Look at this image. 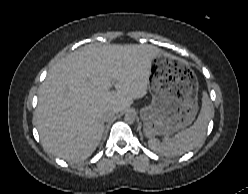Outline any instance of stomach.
<instances>
[{"label": "stomach", "instance_id": "1", "mask_svg": "<svg viewBox=\"0 0 248 194\" xmlns=\"http://www.w3.org/2000/svg\"><path fill=\"white\" fill-rule=\"evenodd\" d=\"M156 67L149 89L152 103L140 116L147 137L169 135L189 126L198 111V81L179 58L160 52L152 57Z\"/></svg>", "mask_w": 248, "mask_h": 194}]
</instances>
